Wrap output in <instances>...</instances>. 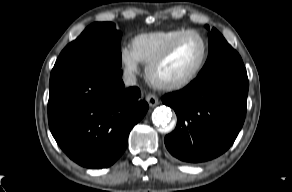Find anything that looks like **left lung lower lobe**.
I'll return each mask as SVG.
<instances>
[{
  "label": "left lung lower lobe",
  "mask_w": 292,
  "mask_h": 192,
  "mask_svg": "<svg viewBox=\"0 0 292 192\" xmlns=\"http://www.w3.org/2000/svg\"><path fill=\"white\" fill-rule=\"evenodd\" d=\"M246 69L198 76L162 102L177 115L175 130L165 137L168 151L190 163L223 154L235 141L246 115Z\"/></svg>",
  "instance_id": "1"
}]
</instances>
